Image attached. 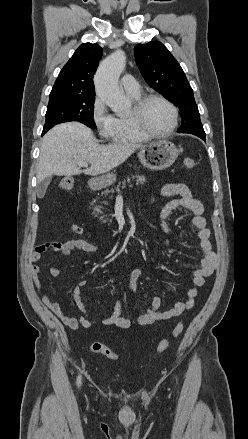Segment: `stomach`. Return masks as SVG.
Segmentation results:
<instances>
[{
    "label": "stomach",
    "mask_w": 248,
    "mask_h": 439,
    "mask_svg": "<svg viewBox=\"0 0 248 439\" xmlns=\"http://www.w3.org/2000/svg\"><path fill=\"white\" fill-rule=\"evenodd\" d=\"M180 150L170 141L160 140L139 149L140 162L151 170H164L170 167L177 159ZM116 181L114 173H106L93 177L89 180V186L93 190H99L112 185Z\"/></svg>",
    "instance_id": "obj_1"
}]
</instances>
